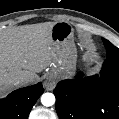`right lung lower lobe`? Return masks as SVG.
I'll list each match as a JSON object with an SVG mask.
<instances>
[{"label":"right lung lower lobe","instance_id":"right-lung-lower-lobe-1","mask_svg":"<svg viewBox=\"0 0 119 119\" xmlns=\"http://www.w3.org/2000/svg\"><path fill=\"white\" fill-rule=\"evenodd\" d=\"M42 83L25 87L0 99V119H27L37 99L43 94Z\"/></svg>","mask_w":119,"mask_h":119}]
</instances>
